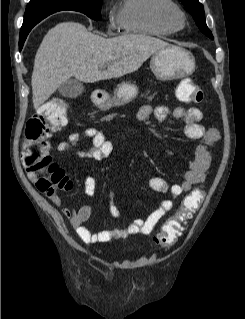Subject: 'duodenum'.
I'll use <instances>...</instances> for the list:
<instances>
[{"mask_svg":"<svg viewBox=\"0 0 245 319\" xmlns=\"http://www.w3.org/2000/svg\"><path fill=\"white\" fill-rule=\"evenodd\" d=\"M94 103H95L96 105H99V104L102 103V100H101V98H100L99 95H95V96H94Z\"/></svg>","mask_w":245,"mask_h":319,"instance_id":"1","label":"duodenum"}]
</instances>
